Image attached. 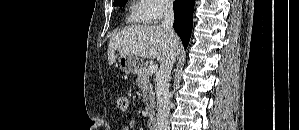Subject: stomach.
Here are the masks:
<instances>
[{
	"label": "stomach",
	"instance_id": "0dacf381",
	"mask_svg": "<svg viewBox=\"0 0 299 130\" xmlns=\"http://www.w3.org/2000/svg\"><path fill=\"white\" fill-rule=\"evenodd\" d=\"M119 68L127 73H136L142 67V60L133 55H120L118 58Z\"/></svg>",
	"mask_w": 299,
	"mask_h": 130
}]
</instances>
